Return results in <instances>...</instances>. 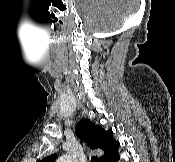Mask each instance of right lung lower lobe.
<instances>
[{"mask_svg": "<svg viewBox=\"0 0 175 162\" xmlns=\"http://www.w3.org/2000/svg\"><path fill=\"white\" fill-rule=\"evenodd\" d=\"M119 159H120L119 153L117 152V153H115L113 156H111V157L109 158V160H107V162H118Z\"/></svg>", "mask_w": 175, "mask_h": 162, "instance_id": "98d812e1", "label": "right lung lower lobe"}]
</instances>
